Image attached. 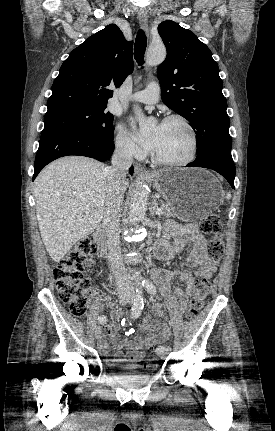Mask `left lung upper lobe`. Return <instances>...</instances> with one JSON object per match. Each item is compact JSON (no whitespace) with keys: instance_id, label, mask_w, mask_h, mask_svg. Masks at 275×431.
Masks as SVG:
<instances>
[{"instance_id":"left-lung-upper-lobe-1","label":"left lung upper lobe","mask_w":275,"mask_h":431,"mask_svg":"<svg viewBox=\"0 0 275 431\" xmlns=\"http://www.w3.org/2000/svg\"><path fill=\"white\" fill-rule=\"evenodd\" d=\"M158 32L167 49L158 68L163 102L191 123L197 135V158L230 151L227 102L212 52L174 21L162 22Z\"/></svg>"}]
</instances>
